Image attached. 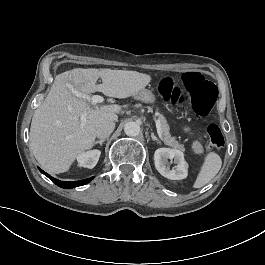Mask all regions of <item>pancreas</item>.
Here are the masks:
<instances>
[{"label":"pancreas","instance_id":"pancreas-1","mask_svg":"<svg viewBox=\"0 0 265 265\" xmlns=\"http://www.w3.org/2000/svg\"><path fill=\"white\" fill-rule=\"evenodd\" d=\"M158 120L160 121L161 129H162V140H163V142L168 146H171L175 149H179V150L184 151L185 150L184 145L179 144L178 141L175 139V137L171 136V134L169 132L170 127L167 123L166 118L162 114H159Z\"/></svg>","mask_w":265,"mask_h":265}]
</instances>
